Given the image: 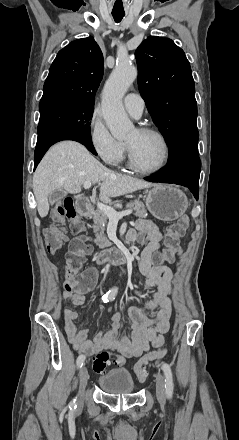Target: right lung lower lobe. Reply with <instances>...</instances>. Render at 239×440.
Listing matches in <instances>:
<instances>
[{
	"label": "right lung lower lobe",
	"instance_id": "1",
	"mask_svg": "<svg viewBox=\"0 0 239 440\" xmlns=\"http://www.w3.org/2000/svg\"><path fill=\"white\" fill-rule=\"evenodd\" d=\"M61 140H74L78 141L86 148L97 155L94 146L91 141L90 133L82 132L78 129L73 128H52L45 130L38 134L36 149L34 153V170L37 167L38 163L49 149L51 145Z\"/></svg>",
	"mask_w": 239,
	"mask_h": 440
}]
</instances>
